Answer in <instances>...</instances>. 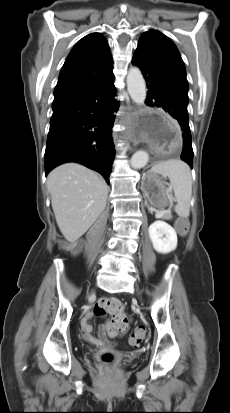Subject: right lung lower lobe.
<instances>
[{
  "label": "right lung lower lobe",
  "mask_w": 230,
  "mask_h": 413,
  "mask_svg": "<svg viewBox=\"0 0 230 413\" xmlns=\"http://www.w3.org/2000/svg\"><path fill=\"white\" fill-rule=\"evenodd\" d=\"M114 75L81 90L54 96L45 151L46 175L66 162L83 164L109 184L115 153L112 130L118 102Z\"/></svg>",
  "instance_id": "98d812e1"
}]
</instances>
